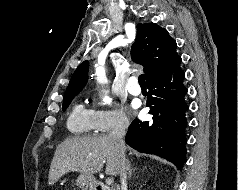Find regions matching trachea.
Listing matches in <instances>:
<instances>
[{"label": "trachea", "instance_id": "obj_1", "mask_svg": "<svg viewBox=\"0 0 238 190\" xmlns=\"http://www.w3.org/2000/svg\"><path fill=\"white\" fill-rule=\"evenodd\" d=\"M138 81H139L140 86H146L144 74H141V75L139 76Z\"/></svg>", "mask_w": 238, "mask_h": 190}]
</instances>
